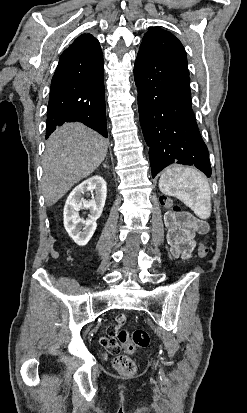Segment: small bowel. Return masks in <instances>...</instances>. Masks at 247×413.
Wrapping results in <instances>:
<instances>
[{
  "mask_svg": "<svg viewBox=\"0 0 247 413\" xmlns=\"http://www.w3.org/2000/svg\"><path fill=\"white\" fill-rule=\"evenodd\" d=\"M165 224L168 229L167 241L173 255L184 260L190 257L191 252L196 246L195 235L205 234L208 232L206 222L193 218L186 223L177 224L176 217L173 213H167L165 216ZM127 315H117L115 322L107 324L105 334L100 336L101 347L109 349L111 355H118L120 349L118 346H113L112 338L116 336V331L123 329L125 317Z\"/></svg>",
  "mask_w": 247,
  "mask_h": 413,
  "instance_id": "small-bowel-1",
  "label": "small bowel"
}]
</instances>
